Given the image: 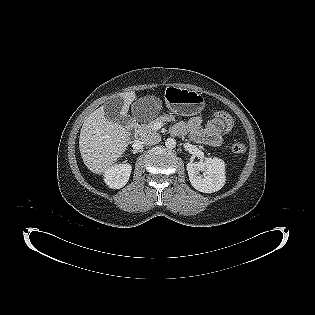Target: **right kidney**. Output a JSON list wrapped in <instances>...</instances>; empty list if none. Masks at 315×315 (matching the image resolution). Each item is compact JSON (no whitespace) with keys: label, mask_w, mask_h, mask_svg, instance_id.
I'll return each mask as SVG.
<instances>
[{"label":"right kidney","mask_w":315,"mask_h":315,"mask_svg":"<svg viewBox=\"0 0 315 315\" xmlns=\"http://www.w3.org/2000/svg\"><path fill=\"white\" fill-rule=\"evenodd\" d=\"M131 170L130 164L115 165L105 172L104 181L110 188L120 189L127 184Z\"/></svg>","instance_id":"ca27d5eb"}]
</instances>
